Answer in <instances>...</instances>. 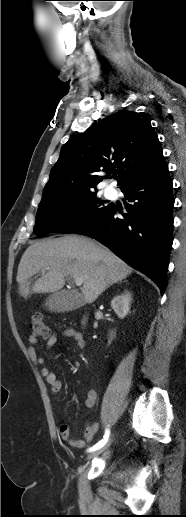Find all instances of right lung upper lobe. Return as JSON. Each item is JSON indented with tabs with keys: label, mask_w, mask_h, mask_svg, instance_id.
<instances>
[{
	"label": "right lung upper lobe",
	"mask_w": 186,
	"mask_h": 517,
	"mask_svg": "<svg viewBox=\"0 0 186 517\" xmlns=\"http://www.w3.org/2000/svg\"><path fill=\"white\" fill-rule=\"evenodd\" d=\"M164 164L161 145L149 119L121 110L64 144L41 202L94 190L107 177L98 176L99 171L116 167L121 189Z\"/></svg>",
	"instance_id": "obj_1"
}]
</instances>
